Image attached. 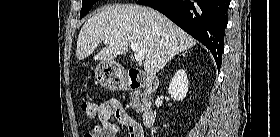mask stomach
<instances>
[{
	"instance_id": "0dacf381",
	"label": "stomach",
	"mask_w": 280,
	"mask_h": 137,
	"mask_svg": "<svg viewBox=\"0 0 280 137\" xmlns=\"http://www.w3.org/2000/svg\"><path fill=\"white\" fill-rule=\"evenodd\" d=\"M99 83L110 90L122 88L124 75L120 67L112 61L100 62L95 70Z\"/></svg>"
}]
</instances>
